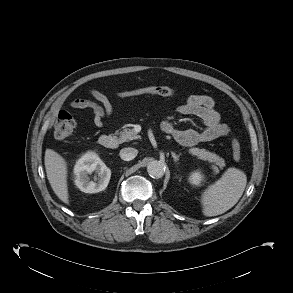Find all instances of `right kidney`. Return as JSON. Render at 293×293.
Here are the masks:
<instances>
[{
  "label": "right kidney",
  "mask_w": 293,
  "mask_h": 293,
  "mask_svg": "<svg viewBox=\"0 0 293 293\" xmlns=\"http://www.w3.org/2000/svg\"><path fill=\"white\" fill-rule=\"evenodd\" d=\"M95 172L94 180L89 175ZM111 171L95 152L84 154L74 166V183L85 193H98L106 189Z\"/></svg>",
  "instance_id": "obj_1"
}]
</instances>
